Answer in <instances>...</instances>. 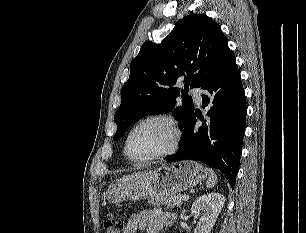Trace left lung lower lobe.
Here are the masks:
<instances>
[{"mask_svg": "<svg viewBox=\"0 0 306 233\" xmlns=\"http://www.w3.org/2000/svg\"><path fill=\"white\" fill-rule=\"evenodd\" d=\"M203 108L209 116L203 126L195 129L193 111L183 127L180 148L168 161L192 159L220 169L232 188L240 164L246 127L245 92L235 55L229 50L216 71L202 84Z\"/></svg>", "mask_w": 306, "mask_h": 233, "instance_id": "1", "label": "left lung lower lobe"}]
</instances>
